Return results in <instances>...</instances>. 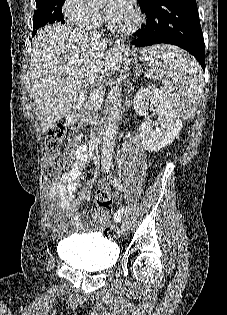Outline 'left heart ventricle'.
<instances>
[{"label": "left heart ventricle", "instance_id": "b2bd125f", "mask_svg": "<svg viewBox=\"0 0 227 315\" xmlns=\"http://www.w3.org/2000/svg\"><path fill=\"white\" fill-rule=\"evenodd\" d=\"M110 21L117 27L126 28L130 26V24L133 22V16H132V13H129L124 17L117 18Z\"/></svg>", "mask_w": 227, "mask_h": 315}]
</instances>
